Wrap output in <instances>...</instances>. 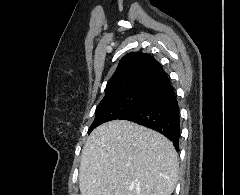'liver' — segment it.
Segmentation results:
<instances>
[{
	"label": "liver",
	"instance_id": "1",
	"mask_svg": "<svg viewBox=\"0 0 240 195\" xmlns=\"http://www.w3.org/2000/svg\"><path fill=\"white\" fill-rule=\"evenodd\" d=\"M171 141L144 125L113 119L91 131L81 153V195H171L178 179Z\"/></svg>",
	"mask_w": 240,
	"mask_h": 195
}]
</instances>
